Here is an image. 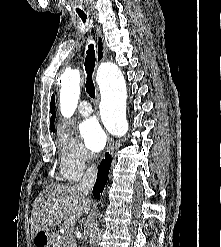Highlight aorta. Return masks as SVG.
I'll list each match as a JSON object with an SVG mask.
<instances>
[{
	"label": "aorta",
	"mask_w": 221,
	"mask_h": 247,
	"mask_svg": "<svg viewBox=\"0 0 221 247\" xmlns=\"http://www.w3.org/2000/svg\"><path fill=\"white\" fill-rule=\"evenodd\" d=\"M60 110L63 116L71 117L80 95L79 70H67L61 77ZM101 113L106 128L121 137L128 131L126 119L127 90L124 77L117 65L107 62L99 69Z\"/></svg>",
	"instance_id": "obj_1"
}]
</instances>
